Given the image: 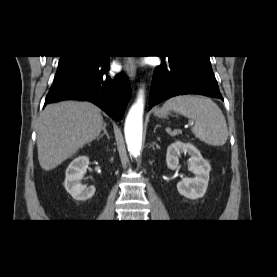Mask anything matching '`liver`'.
I'll return each mask as SVG.
<instances>
[{"label": "liver", "mask_w": 277, "mask_h": 277, "mask_svg": "<svg viewBox=\"0 0 277 277\" xmlns=\"http://www.w3.org/2000/svg\"><path fill=\"white\" fill-rule=\"evenodd\" d=\"M104 126L101 110L91 103L64 101L48 105L37 127L41 168L46 171L56 168L95 140Z\"/></svg>", "instance_id": "obj_1"}]
</instances>
